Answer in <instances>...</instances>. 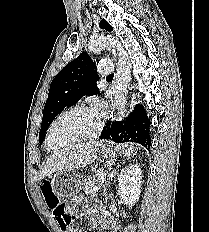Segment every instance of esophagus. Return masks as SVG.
<instances>
[{
  "mask_svg": "<svg viewBox=\"0 0 209 232\" xmlns=\"http://www.w3.org/2000/svg\"><path fill=\"white\" fill-rule=\"evenodd\" d=\"M113 57L116 59L117 58V52L116 49L111 50Z\"/></svg>",
  "mask_w": 209,
  "mask_h": 232,
  "instance_id": "34e87169",
  "label": "esophagus"
}]
</instances>
